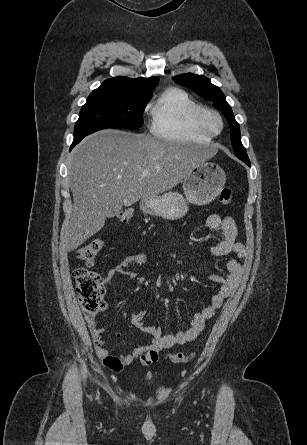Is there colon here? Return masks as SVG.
Here are the masks:
<instances>
[{
    "label": "colon",
    "mask_w": 307,
    "mask_h": 445,
    "mask_svg": "<svg viewBox=\"0 0 307 445\" xmlns=\"http://www.w3.org/2000/svg\"><path fill=\"white\" fill-rule=\"evenodd\" d=\"M232 200V190L224 187L219 194V201L222 204H229ZM117 218L121 222H128L131 213L124 211L118 214ZM103 246L101 239H93L86 243L78 251V258L83 261L87 267L94 264L95 258ZM74 278L76 289L79 295L81 308L87 320L94 318L99 312L105 308L103 300L104 283L100 275L90 271L85 267H77L74 270ZM195 356V353H172L169 358L174 363H186Z\"/></svg>",
    "instance_id": "obj_1"
}]
</instances>
